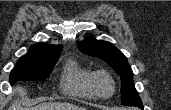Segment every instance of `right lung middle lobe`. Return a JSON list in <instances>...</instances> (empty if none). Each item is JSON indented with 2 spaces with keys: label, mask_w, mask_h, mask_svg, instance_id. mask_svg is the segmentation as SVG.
<instances>
[{
  "label": "right lung middle lobe",
  "mask_w": 171,
  "mask_h": 110,
  "mask_svg": "<svg viewBox=\"0 0 171 110\" xmlns=\"http://www.w3.org/2000/svg\"><path fill=\"white\" fill-rule=\"evenodd\" d=\"M58 59L59 56L52 58L21 57L10 73L11 85L19 80H45Z\"/></svg>",
  "instance_id": "right-lung-middle-lobe-1"
}]
</instances>
